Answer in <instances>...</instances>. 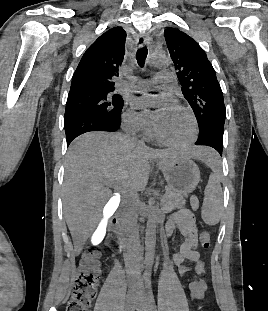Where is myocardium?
<instances>
[{
	"label": "myocardium",
	"mask_w": 268,
	"mask_h": 311,
	"mask_svg": "<svg viewBox=\"0 0 268 311\" xmlns=\"http://www.w3.org/2000/svg\"><path fill=\"white\" fill-rule=\"evenodd\" d=\"M177 108L180 111H182L188 117V119L190 121V124H191L190 135L186 139H184L182 141H172V140H169V139L165 138L161 134L157 122L155 124L154 133H155L156 138L160 142H162L163 144H165L167 146H171V147L182 149V148L189 147L190 145H192L195 142V140L197 138V134H198V123H197V120L195 118V115L193 114V112L189 108L184 107V106H178Z\"/></svg>",
	"instance_id": "f54148a6"
}]
</instances>
